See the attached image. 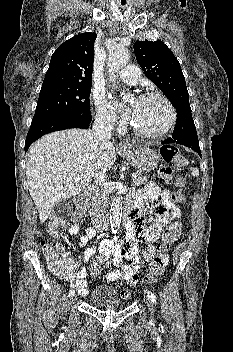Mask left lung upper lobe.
<instances>
[{
  "mask_svg": "<svg viewBox=\"0 0 233 352\" xmlns=\"http://www.w3.org/2000/svg\"><path fill=\"white\" fill-rule=\"evenodd\" d=\"M134 52L145 75L161 89L176 108L178 121L172 138H198L185 78L172 51L162 41H137L134 44Z\"/></svg>",
  "mask_w": 233,
  "mask_h": 352,
  "instance_id": "1",
  "label": "left lung upper lobe"
}]
</instances>
